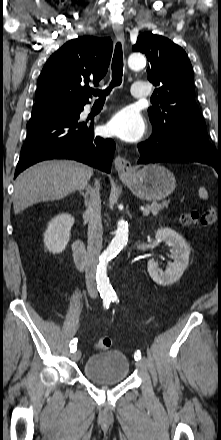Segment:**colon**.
<instances>
[{"mask_svg":"<svg viewBox=\"0 0 221 440\" xmlns=\"http://www.w3.org/2000/svg\"><path fill=\"white\" fill-rule=\"evenodd\" d=\"M216 221L215 211L207 209L203 212L190 211L182 213L179 216V222L185 227L191 226H212ZM112 341L108 337H102L96 340L95 349L97 351H105L111 347Z\"/></svg>","mask_w":221,"mask_h":440,"instance_id":"5ec220e1","label":"colon"}]
</instances>
